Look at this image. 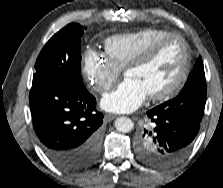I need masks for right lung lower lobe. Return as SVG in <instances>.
I'll return each instance as SVG.
<instances>
[{
  "label": "right lung lower lobe",
  "instance_id": "98d812e1",
  "mask_svg": "<svg viewBox=\"0 0 223 188\" xmlns=\"http://www.w3.org/2000/svg\"><path fill=\"white\" fill-rule=\"evenodd\" d=\"M29 104L40 146L58 168L76 172L94 163L103 123L94 96L62 83L33 79Z\"/></svg>",
  "mask_w": 223,
  "mask_h": 188
}]
</instances>
